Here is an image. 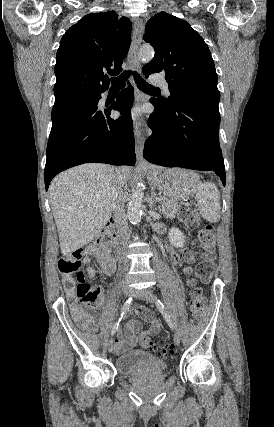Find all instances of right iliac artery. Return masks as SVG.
Returning a JSON list of instances; mask_svg holds the SVG:
<instances>
[{"label":"right iliac artery","instance_id":"obj_1","mask_svg":"<svg viewBox=\"0 0 274 427\" xmlns=\"http://www.w3.org/2000/svg\"><path fill=\"white\" fill-rule=\"evenodd\" d=\"M132 300H133V298H132V297H129V298L126 300V302L124 303V306H123V309H122L121 316H120L119 320L115 323V325H114V326H113V328H112V331H111V335H112V336H113V335L116 333V331L118 330L119 323H120L121 319L124 317V315L126 314V312L129 310V308H130V306H131V303H132Z\"/></svg>","mask_w":274,"mask_h":427}]
</instances>
